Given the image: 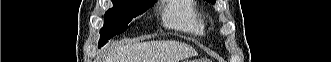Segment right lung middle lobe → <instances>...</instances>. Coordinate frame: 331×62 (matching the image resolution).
Listing matches in <instances>:
<instances>
[{"label": "right lung middle lobe", "instance_id": "obj_1", "mask_svg": "<svg viewBox=\"0 0 331 62\" xmlns=\"http://www.w3.org/2000/svg\"><path fill=\"white\" fill-rule=\"evenodd\" d=\"M112 2L113 7L105 13L99 46L106 44L113 36L123 33L133 18L143 14L155 3L146 0H112Z\"/></svg>", "mask_w": 331, "mask_h": 62}]
</instances>
